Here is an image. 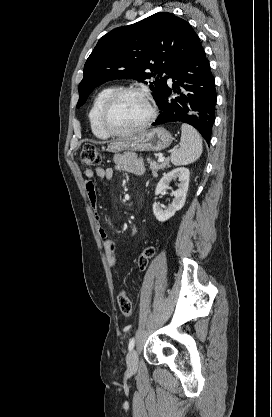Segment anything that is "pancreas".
Masks as SVG:
<instances>
[{
    "instance_id": "cf45deb5",
    "label": "pancreas",
    "mask_w": 272,
    "mask_h": 417,
    "mask_svg": "<svg viewBox=\"0 0 272 417\" xmlns=\"http://www.w3.org/2000/svg\"><path fill=\"white\" fill-rule=\"evenodd\" d=\"M147 162L149 164V168L152 170L153 174H155L158 170L165 169L169 166L168 161L157 163L155 161H152L151 159H147Z\"/></svg>"
}]
</instances>
